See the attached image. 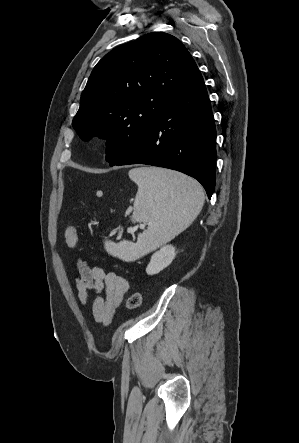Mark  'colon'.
<instances>
[{"instance_id": "colon-1", "label": "colon", "mask_w": 299, "mask_h": 443, "mask_svg": "<svg viewBox=\"0 0 299 443\" xmlns=\"http://www.w3.org/2000/svg\"><path fill=\"white\" fill-rule=\"evenodd\" d=\"M65 239H66L67 245L70 248H72V249L77 248L78 235H77L76 227L71 221L67 222V224L65 226ZM141 302H142L141 294L138 292H134L128 297L126 305H127L128 309L136 310L140 307Z\"/></svg>"}]
</instances>
